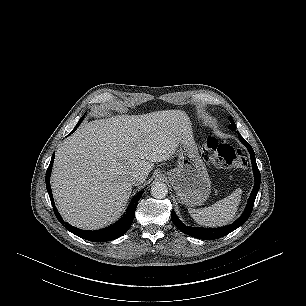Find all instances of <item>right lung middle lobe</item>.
Segmentation results:
<instances>
[{
  "mask_svg": "<svg viewBox=\"0 0 306 306\" xmlns=\"http://www.w3.org/2000/svg\"><path fill=\"white\" fill-rule=\"evenodd\" d=\"M84 115H85V114H84ZM83 119H84V116H82V118L80 119V121L77 123L76 126H78V125L82 122Z\"/></svg>",
  "mask_w": 306,
  "mask_h": 306,
  "instance_id": "1",
  "label": "right lung middle lobe"
}]
</instances>
